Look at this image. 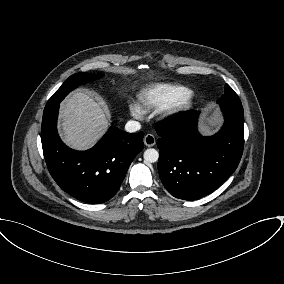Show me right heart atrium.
<instances>
[{"mask_svg":"<svg viewBox=\"0 0 284 284\" xmlns=\"http://www.w3.org/2000/svg\"><path fill=\"white\" fill-rule=\"evenodd\" d=\"M129 111L131 115L135 118H140L143 115L141 107L136 103H131L129 105Z\"/></svg>","mask_w":284,"mask_h":284,"instance_id":"right-heart-atrium-1","label":"right heart atrium"}]
</instances>
